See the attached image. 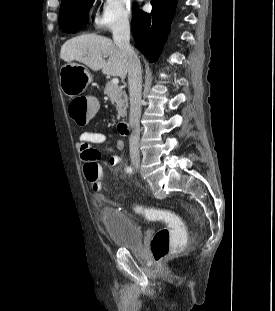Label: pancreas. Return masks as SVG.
Here are the masks:
<instances>
[{"instance_id": "obj_1", "label": "pancreas", "mask_w": 275, "mask_h": 311, "mask_svg": "<svg viewBox=\"0 0 275 311\" xmlns=\"http://www.w3.org/2000/svg\"><path fill=\"white\" fill-rule=\"evenodd\" d=\"M104 94L110 98L111 103L115 106L118 112V117H125L127 115L128 108V98L126 92L123 91V89L118 85L107 82Z\"/></svg>"}]
</instances>
